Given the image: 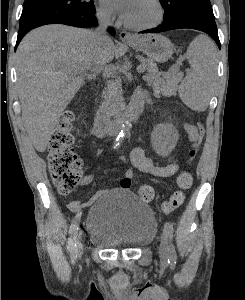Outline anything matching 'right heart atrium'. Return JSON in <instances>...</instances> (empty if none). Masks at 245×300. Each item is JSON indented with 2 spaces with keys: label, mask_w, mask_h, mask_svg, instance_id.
<instances>
[{
  "label": "right heart atrium",
  "mask_w": 245,
  "mask_h": 300,
  "mask_svg": "<svg viewBox=\"0 0 245 300\" xmlns=\"http://www.w3.org/2000/svg\"><path fill=\"white\" fill-rule=\"evenodd\" d=\"M98 17L105 22H108L112 18V12L110 8L105 5L102 1L97 6Z\"/></svg>",
  "instance_id": "obj_1"
}]
</instances>
